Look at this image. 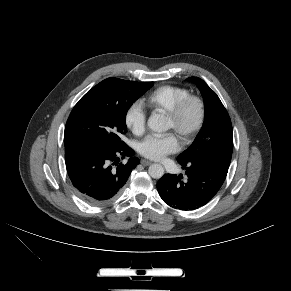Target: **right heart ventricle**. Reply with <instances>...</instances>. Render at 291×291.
<instances>
[{"label": "right heart ventricle", "mask_w": 291, "mask_h": 291, "mask_svg": "<svg viewBox=\"0 0 291 291\" xmlns=\"http://www.w3.org/2000/svg\"><path fill=\"white\" fill-rule=\"evenodd\" d=\"M189 95L190 91L185 87L163 85L144 97L142 104L154 112L167 114L179 101Z\"/></svg>", "instance_id": "obj_1"}]
</instances>
